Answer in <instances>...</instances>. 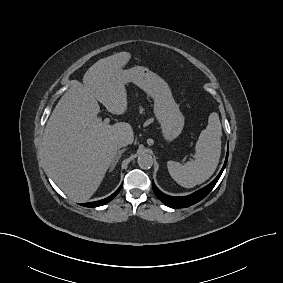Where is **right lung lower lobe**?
I'll use <instances>...</instances> for the list:
<instances>
[{"mask_svg": "<svg viewBox=\"0 0 283 283\" xmlns=\"http://www.w3.org/2000/svg\"><path fill=\"white\" fill-rule=\"evenodd\" d=\"M121 187H122V185L112 195H110L109 197H107L105 199L95 201V202L83 203L81 205L85 206V207H98V206L105 205L106 203L110 202L118 194Z\"/></svg>", "mask_w": 283, "mask_h": 283, "instance_id": "right-lung-lower-lobe-1", "label": "right lung lower lobe"}]
</instances>
